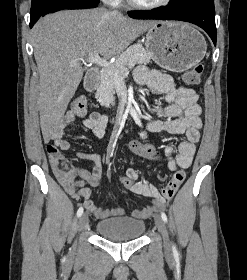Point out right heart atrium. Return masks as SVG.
I'll return each instance as SVG.
<instances>
[{
    "label": "right heart atrium",
    "mask_w": 247,
    "mask_h": 280,
    "mask_svg": "<svg viewBox=\"0 0 247 280\" xmlns=\"http://www.w3.org/2000/svg\"><path fill=\"white\" fill-rule=\"evenodd\" d=\"M107 3H110V4H118L120 2V0H103Z\"/></svg>",
    "instance_id": "right-heart-atrium-1"
}]
</instances>
